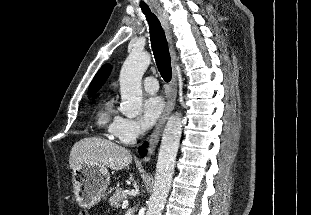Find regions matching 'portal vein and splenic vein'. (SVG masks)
I'll return each instance as SVG.
<instances>
[{
	"instance_id": "obj_1",
	"label": "portal vein and splenic vein",
	"mask_w": 311,
	"mask_h": 215,
	"mask_svg": "<svg viewBox=\"0 0 311 215\" xmlns=\"http://www.w3.org/2000/svg\"><path fill=\"white\" fill-rule=\"evenodd\" d=\"M127 206H128V201L127 200L123 201L122 208H126Z\"/></svg>"
}]
</instances>
